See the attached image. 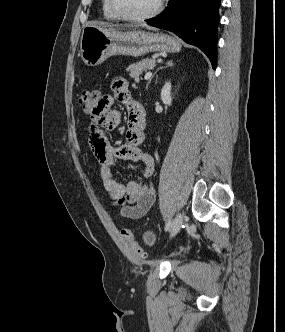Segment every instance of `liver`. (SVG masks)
<instances>
[{
  "label": "liver",
  "mask_w": 285,
  "mask_h": 332,
  "mask_svg": "<svg viewBox=\"0 0 285 332\" xmlns=\"http://www.w3.org/2000/svg\"><path fill=\"white\" fill-rule=\"evenodd\" d=\"M110 29H112V28H110ZM149 29H153V28H149ZM113 30H115V29H113Z\"/></svg>",
  "instance_id": "1"
}]
</instances>
